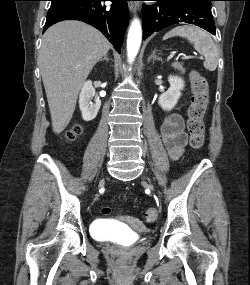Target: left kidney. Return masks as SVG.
<instances>
[{"instance_id":"1","label":"left kidney","mask_w":250,"mask_h":285,"mask_svg":"<svg viewBox=\"0 0 250 285\" xmlns=\"http://www.w3.org/2000/svg\"><path fill=\"white\" fill-rule=\"evenodd\" d=\"M169 89L161 94L158 99L159 106L165 111H171L181 97V90L184 88V81L178 76L168 77Z\"/></svg>"}]
</instances>
